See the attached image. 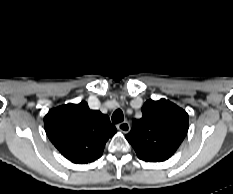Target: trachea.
Wrapping results in <instances>:
<instances>
[{"instance_id": "3493384b", "label": "trachea", "mask_w": 233, "mask_h": 194, "mask_svg": "<svg viewBox=\"0 0 233 194\" xmlns=\"http://www.w3.org/2000/svg\"><path fill=\"white\" fill-rule=\"evenodd\" d=\"M123 120H124V115L122 110L120 109L116 110L112 115V123L113 124L120 123Z\"/></svg>"}]
</instances>
